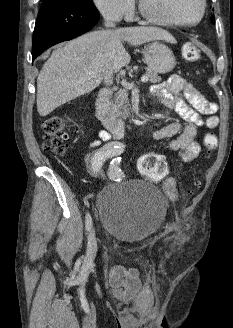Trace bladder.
Segmentation results:
<instances>
[{
  "label": "bladder",
  "mask_w": 233,
  "mask_h": 328,
  "mask_svg": "<svg viewBox=\"0 0 233 328\" xmlns=\"http://www.w3.org/2000/svg\"><path fill=\"white\" fill-rule=\"evenodd\" d=\"M97 216L102 230L123 242H138L163 224L168 203L154 186L126 181L106 186L97 197Z\"/></svg>",
  "instance_id": "31cf9c89"
}]
</instances>
